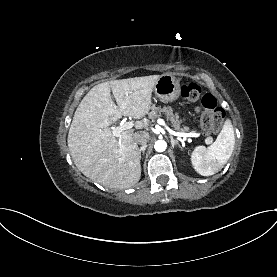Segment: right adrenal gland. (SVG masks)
Returning <instances> with one entry per match:
<instances>
[{"mask_svg":"<svg viewBox=\"0 0 277 277\" xmlns=\"http://www.w3.org/2000/svg\"><path fill=\"white\" fill-rule=\"evenodd\" d=\"M146 148H147V145L142 146V147L139 149V156H140V158H141V153H142V152L145 153Z\"/></svg>","mask_w":277,"mask_h":277,"instance_id":"right-adrenal-gland-1","label":"right adrenal gland"}]
</instances>
